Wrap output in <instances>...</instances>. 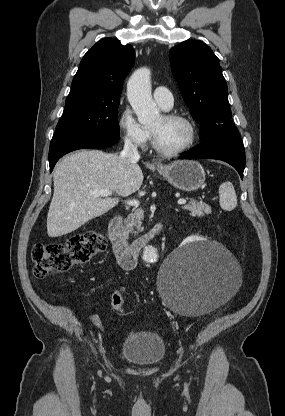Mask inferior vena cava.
<instances>
[{
    "label": "inferior vena cava",
    "instance_id": "obj_1",
    "mask_svg": "<svg viewBox=\"0 0 285 416\" xmlns=\"http://www.w3.org/2000/svg\"><path fill=\"white\" fill-rule=\"evenodd\" d=\"M120 158L121 160H124L126 166H129V164H136V162L140 160L139 152L136 146H134L131 138H128V136H126L124 140V148L120 154Z\"/></svg>",
    "mask_w": 285,
    "mask_h": 416
}]
</instances>
